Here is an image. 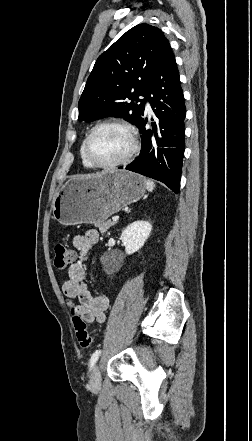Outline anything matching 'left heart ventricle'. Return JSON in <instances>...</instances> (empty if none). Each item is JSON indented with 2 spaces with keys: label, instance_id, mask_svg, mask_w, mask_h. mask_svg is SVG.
<instances>
[{
  "label": "left heart ventricle",
  "instance_id": "obj_1",
  "mask_svg": "<svg viewBox=\"0 0 252 441\" xmlns=\"http://www.w3.org/2000/svg\"><path fill=\"white\" fill-rule=\"evenodd\" d=\"M130 149L127 132L116 126L98 129L89 144V154L98 163H112L123 158Z\"/></svg>",
  "mask_w": 252,
  "mask_h": 441
}]
</instances>
